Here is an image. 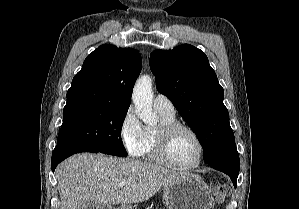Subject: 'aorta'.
Returning a JSON list of instances; mask_svg holds the SVG:
<instances>
[{"mask_svg": "<svg viewBox=\"0 0 299 209\" xmlns=\"http://www.w3.org/2000/svg\"><path fill=\"white\" fill-rule=\"evenodd\" d=\"M132 101L137 116L147 125L157 124V115L153 113L152 79L149 76L140 77L133 89Z\"/></svg>", "mask_w": 299, "mask_h": 209, "instance_id": "aorta-1", "label": "aorta"}]
</instances>
